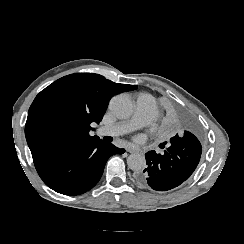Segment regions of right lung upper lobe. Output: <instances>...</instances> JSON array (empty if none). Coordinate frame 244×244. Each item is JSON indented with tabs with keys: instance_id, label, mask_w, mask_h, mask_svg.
Listing matches in <instances>:
<instances>
[{
	"instance_id": "cb5924a9",
	"label": "right lung upper lobe",
	"mask_w": 244,
	"mask_h": 244,
	"mask_svg": "<svg viewBox=\"0 0 244 244\" xmlns=\"http://www.w3.org/2000/svg\"><path fill=\"white\" fill-rule=\"evenodd\" d=\"M136 88L94 73H75L56 80L36 96L28 111L25 136L30 150L92 139L91 123L102 120L112 96ZM49 119H57L58 126L49 127Z\"/></svg>"
}]
</instances>
